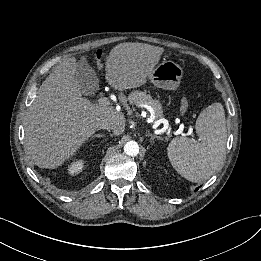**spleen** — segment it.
<instances>
[{"label": "spleen", "mask_w": 261, "mask_h": 261, "mask_svg": "<svg viewBox=\"0 0 261 261\" xmlns=\"http://www.w3.org/2000/svg\"><path fill=\"white\" fill-rule=\"evenodd\" d=\"M199 140L174 138L167 147L174 169L191 182L209 179L221 165L226 149L227 128L224 108L213 103L196 120Z\"/></svg>", "instance_id": "3e777b00"}]
</instances>
